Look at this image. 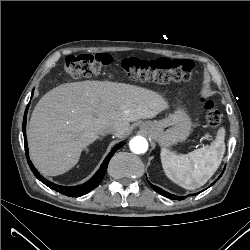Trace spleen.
I'll use <instances>...</instances> for the list:
<instances>
[{
	"instance_id": "3e777b00",
	"label": "spleen",
	"mask_w": 250,
	"mask_h": 250,
	"mask_svg": "<svg viewBox=\"0 0 250 250\" xmlns=\"http://www.w3.org/2000/svg\"><path fill=\"white\" fill-rule=\"evenodd\" d=\"M225 129L222 127L209 147L177 155L161 149V162L166 176L179 186L195 190L214 175L225 153Z\"/></svg>"
}]
</instances>
